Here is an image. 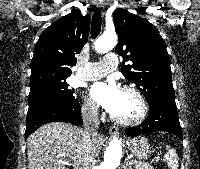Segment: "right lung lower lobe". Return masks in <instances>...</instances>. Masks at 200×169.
Segmentation results:
<instances>
[{
	"mask_svg": "<svg viewBox=\"0 0 200 169\" xmlns=\"http://www.w3.org/2000/svg\"><path fill=\"white\" fill-rule=\"evenodd\" d=\"M57 121L82 125L83 120L78 100L70 106L41 104L29 107L26 119L25 138L27 139L40 126Z\"/></svg>",
	"mask_w": 200,
	"mask_h": 169,
	"instance_id": "obj_1",
	"label": "right lung lower lobe"
}]
</instances>
